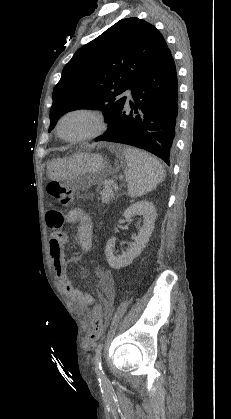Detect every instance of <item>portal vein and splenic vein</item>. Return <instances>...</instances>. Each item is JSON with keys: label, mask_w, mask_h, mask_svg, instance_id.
Listing matches in <instances>:
<instances>
[{"label": "portal vein and splenic vein", "mask_w": 231, "mask_h": 419, "mask_svg": "<svg viewBox=\"0 0 231 419\" xmlns=\"http://www.w3.org/2000/svg\"><path fill=\"white\" fill-rule=\"evenodd\" d=\"M114 183V181H111V182H109L108 184H107V188H111V185Z\"/></svg>", "instance_id": "18ae733b"}]
</instances>
